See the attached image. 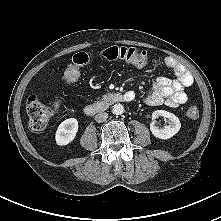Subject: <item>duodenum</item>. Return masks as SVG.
I'll list each match as a JSON object with an SVG mask.
<instances>
[{
  "instance_id": "obj_1",
  "label": "duodenum",
  "mask_w": 221,
  "mask_h": 221,
  "mask_svg": "<svg viewBox=\"0 0 221 221\" xmlns=\"http://www.w3.org/2000/svg\"><path fill=\"white\" fill-rule=\"evenodd\" d=\"M133 99V95L131 93H125V94H116L113 96L114 102H129ZM105 103L103 102H94L91 104H88L85 107V111L88 114H96L101 113L105 110Z\"/></svg>"
}]
</instances>
